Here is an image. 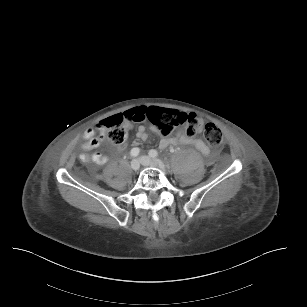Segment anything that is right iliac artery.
Instances as JSON below:
<instances>
[{"label": "right iliac artery", "instance_id": "1", "mask_svg": "<svg viewBox=\"0 0 307 307\" xmlns=\"http://www.w3.org/2000/svg\"><path fill=\"white\" fill-rule=\"evenodd\" d=\"M140 153V149L139 148H133L130 152L131 156L136 157L138 156Z\"/></svg>", "mask_w": 307, "mask_h": 307}]
</instances>
